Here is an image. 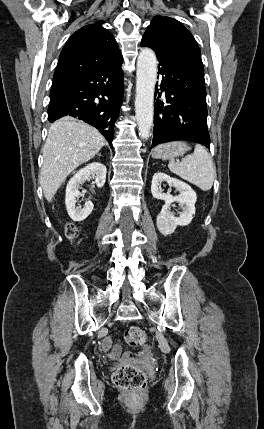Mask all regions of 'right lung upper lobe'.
Listing matches in <instances>:
<instances>
[{"label":"right lung upper lobe","instance_id":"obj_1","mask_svg":"<svg viewBox=\"0 0 264 429\" xmlns=\"http://www.w3.org/2000/svg\"><path fill=\"white\" fill-rule=\"evenodd\" d=\"M90 24L76 31L66 42L54 73L52 88H56L97 69L121 53L112 33Z\"/></svg>","mask_w":264,"mask_h":429}]
</instances>
